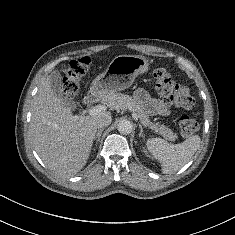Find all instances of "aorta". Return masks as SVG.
<instances>
[{
    "label": "aorta",
    "mask_w": 235,
    "mask_h": 235,
    "mask_svg": "<svg viewBox=\"0 0 235 235\" xmlns=\"http://www.w3.org/2000/svg\"><path fill=\"white\" fill-rule=\"evenodd\" d=\"M132 127V123L129 120H121L117 125L118 131L121 134H130Z\"/></svg>",
    "instance_id": "aorta-1"
}]
</instances>
